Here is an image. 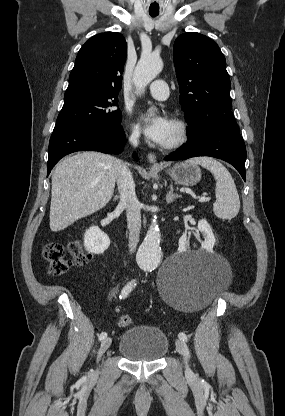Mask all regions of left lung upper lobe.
I'll return each instance as SVG.
<instances>
[{
	"mask_svg": "<svg viewBox=\"0 0 285 416\" xmlns=\"http://www.w3.org/2000/svg\"><path fill=\"white\" fill-rule=\"evenodd\" d=\"M173 60L188 137L217 124L236 123L230 78L218 45L205 35L184 33L175 40Z\"/></svg>",
	"mask_w": 285,
	"mask_h": 416,
	"instance_id": "obj_1",
	"label": "left lung upper lobe"
}]
</instances>
